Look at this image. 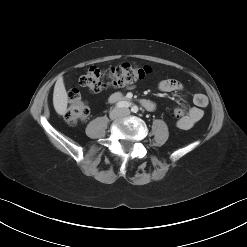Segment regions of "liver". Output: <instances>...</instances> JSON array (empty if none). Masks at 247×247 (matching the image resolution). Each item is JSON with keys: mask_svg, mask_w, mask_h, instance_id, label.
Segmentation results:
<instances>
[{"mask_svg": "<svg viewBox=\"0 0 247 247\" xmlns=\"http://www.w3.org/2000/svg\"><path fill=\"white\" fill-rule=\"evenodd\" d=\"M68 96L64 86L63 78L60 77L54 86L53 105L59 115H65L67 111Z\"/></svg>", "mask_w": 247, "mask_h": 247, "instance_id": "obj_1", "label": "liver"}]
</instances>
